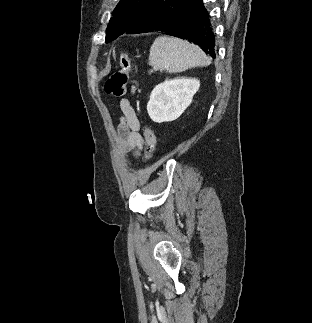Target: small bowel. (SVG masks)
<instances>
[{
	"label": "small bowel",
	"mask_w": 312,
	"mask_h": 323,
	"mask_svg": "<svg viewBox=\"0 0 312 323\" xmlns=\"http://www.w3.org/2000/svg\"><path fill=\"white\" fill-rule=\"evenodd\" d=\"M132 90L134 91V88ZM119 107L121 115L118 124V150L121 153L132 152L138 156L143 146L139 119L127 98L119 101Z\"/></svg>",
	"instance_id": "c3829d8e"
}]
</instances>
